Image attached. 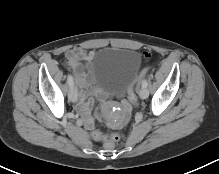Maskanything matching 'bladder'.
<instances>
[{"label": "bladder", "instance_id": "bladder-1", "mask_svg": "<svg viewBox=\"0 0 219 174\" xmlns=\"http://www.w3.org/2000/svg\"><path fill=\"white\" fill-rule=\"evenodd\" d=\"M141 61V55L136 50L111 47L94 55L89 71L96 86L106 93H118L135 77Z\"/></svg>", "mask_w": 219, "mask_h": 174}]
</instances>
